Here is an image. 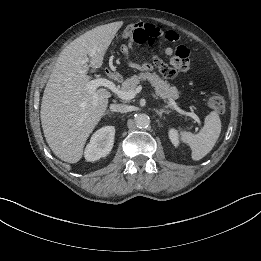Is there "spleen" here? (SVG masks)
<instances>
[{
	"mask_svg": "<svg viewBox=\"0 0 261 261\" xmlns=\"http://www.w3.org/2000/svg\"><path fill=\"white\" fill-rule=\"evenodd\" d=\"M221 133V121L216 112H211L205 118V124L197 134L182 130L181 141L188 144L192 150L191 157L198 161L205 157L214 147Z\"/></svg>",
	"mask_w": 261,
	"mask_h": 261,
	"instance_id": "obj_1",
	"label": "spleen"
}]
</instances>
